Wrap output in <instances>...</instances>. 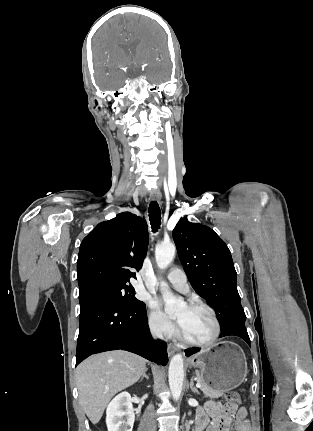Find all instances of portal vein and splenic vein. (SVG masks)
<instances>
[{
	"label": "portal vein and splenic vein",
	"instance_id": "1",
	"mask_svg": "<svg viewBox=\"0 0 313 431\" xmlns=\"http://www.w3.org/2000/svg\"><path fill=\"white\" fill-rule=\"evenodd\" d=\"M196 386H197L198 388H200V387H201V383H200V382H197Z\"/></svg>",
	"mask_w": 313,
	"mask_h": 431
}]
</instances>
